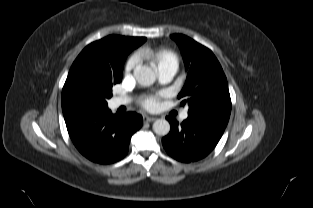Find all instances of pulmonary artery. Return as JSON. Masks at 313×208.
Listing matches in <instances>:
<instances>
[{"instance_id": "obj_1", "label": "pulmonary artery", "mask_w": 313, "mask_h": 208, "mask_svg": "<svg viewBox=\"0 0 313 208\" xmlns=\"http://www.w3.org/2000/svg\"><path fill=\"white\" fill-rule=\"evenodd\" d=\"M177 72V66L175 65H166L160 69H158V76L161 83H168L170 82ZM126 103V100L123 98H114L113 99V106L118 107ZM188 117V112L184 111L180 118L181 120H185Z\"/></svg>"}]
</instances>
